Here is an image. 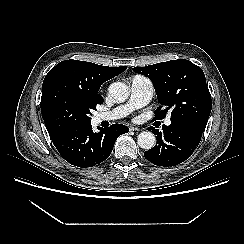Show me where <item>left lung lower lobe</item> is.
Wrapping results in <instances>:
<instances>
[{
    "label": "left lung lower lobe",
    "mask_w": 244,
    "mask_h": 244,
    "mask_svg": "<svg viewBox=\"0 0 244 244\" xmlns=\"http://www.w3.org/2000/svg\"><path fill=\"white\" fill-rule=\"evenodd\" d=\"M157 138L156 145L144 152V157L157 166H174L188 159L198 146L202 129L188 123L163 125V132L149 127Z\"/></svg>",
    "instance_id": "0a47b994"
}]
</instances>
